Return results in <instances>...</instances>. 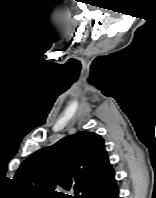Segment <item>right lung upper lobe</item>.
<instances>
[{"mask_svg":"<svg viewBox=\"0 0 156 198\" xmlns=\"http://www.w3.org/2000/svg\"><path fill=\"white\" fill-rule=\"evenodd\" d=\"M14 179L36 193L53 197L64 196L54 191L56 185L75 190L79 198H102L116 187L104 140L84 131L29 156Z\"/></svg>","mask_w":156,"mask_h":198,"instance_id":"right-lung-upper-lobe-1","label":"right lung upper lobe"}]
</instances>
